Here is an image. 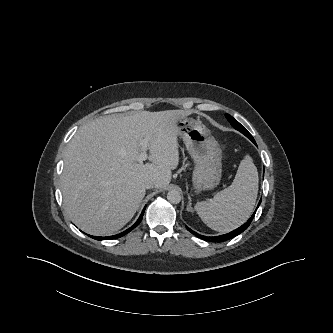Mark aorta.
I'll return each instance as SVG.
<instances>
[{"mask_svg": "<svg viewBox=\"0 0 333 333\" xmlns=\"http://www.w3.org/2000/svg\"><path fill=\"white\" fill-rule=\"evenodd\" d=\"M167 199L172 204H178L181 201V195L176 190H171L167 194Z\"/></svg>", "mask_w": 333, "mask_h": 333, "instance_id": "1", "label": "aorta"}]
</instances>
